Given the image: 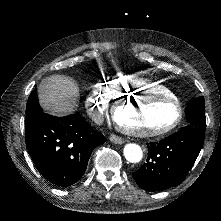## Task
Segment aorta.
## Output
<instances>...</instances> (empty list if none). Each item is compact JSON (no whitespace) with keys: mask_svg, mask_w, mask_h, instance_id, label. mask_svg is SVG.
<instances>
[{"mask_svg":"<svg viewBox=\"0 0 221 221\" xmlns=\"http://www.w3.org/2000/svg\"><path fill=\"white\" fill-rule=\"evenodd\" d=\"M123 152L126 160L131 163H138L143 157L141 147L134 143L126 144Z\"/></svg>","mask_w":221,"mask_h":221,"instance_id":"762f6f07","label":"aorta"}]
</instances>
